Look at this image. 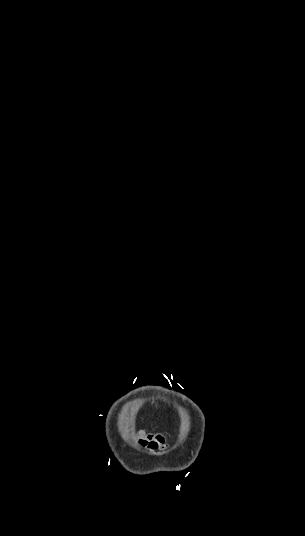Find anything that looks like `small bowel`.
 Returning a JSON list of instances; mask_svg holds the SVG:
<instances>
[{"label": "small bowel", "mask_w": 305, "mask_h": 536, "mask_svg": "<svg viewBox=\"0 0 305 536\" xmlns=\"http://www.w3.org/2000/svg\"><path fill=\"white\" fill-rule=\"evenodd\" d=\"M138 444L149 450H159L166 447L165 437L160 433H152L150 428H142L135 434Z\"/></svg>", "instance_id": "obj_1"}]
</instances>
